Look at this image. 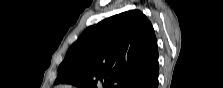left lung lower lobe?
I'll use <instances>...</instances> for the list:
<instances>
[{"mask_svg":"<svg viewBox=\"0 0 223 88\" xmlns=\"http://www.w3.org/2000/svg\"><path fill=\"white\" fill-rule=\"evenodd\" d=\"M158 74L159 65L157 61L128 88H158Z\"/></svg>","mask_w":223,"mask_h":88,"instance_id":"1","label":"left lung lower lobe"}]
</instances>
